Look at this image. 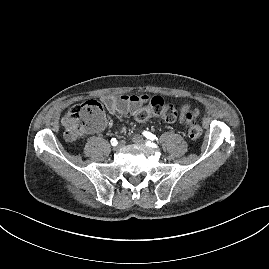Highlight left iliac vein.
I'll return each instance as SVG.
<instances>
[{"instance_id":"1","label":"left iliac vein","mask_w":269,"mask_h":269,"mask_svg":"<svg viewBox=\"0 0 269 269\" xmlns=\"http://www.w3.org/2000/svg\"><path fill=\"white\" fill-rule=\"evenodd\" d=\"M133 142L135 144H142L144 142V138L141 135H134Z\"/></svg>"}]
</instances>
